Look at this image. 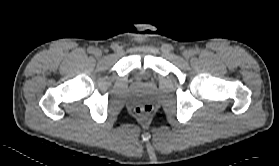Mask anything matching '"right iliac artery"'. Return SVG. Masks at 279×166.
Masks as SVG:
<instances>
[{"label": "right iliac artery", "instance_id": "82829eb1", "mask_svg": "<svg viewBox=\"0 0 279 166\" xmlns=\"http://www.w3.org/2000/svg\"><path fill=\"white\" fill-rule=\"evenodd\" d=\"M88 52H89V53H93V52H94V48H93V47H89V48H88Z\"/></svg>", "mask_w": 279, "mask_h": 166}]
</instances>
